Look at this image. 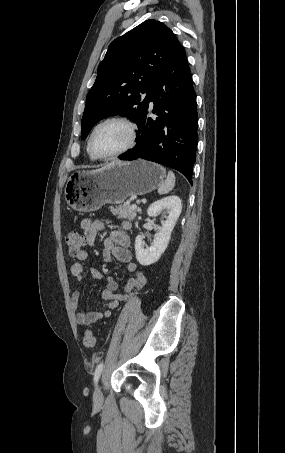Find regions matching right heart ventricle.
<instances>
[{"label": "right heart ventricle", "instance_id": "right-heart-ventricle-1", "mask_svg": "<svg viewBox=\"0 0 285 453\" xmlns=\"http://www.w3.org/2000/svg\"><path fill=\"white\" fill-rule=\"evenodd\" d=\"M87 151H88V154H89V157H90V159H91V160H95L96 158H94V157L92 156V154L90 153V151H89V148H88V147H87Z\"/></svg>", "mask_w": 285, "mask_h": 453}]
</instances>
